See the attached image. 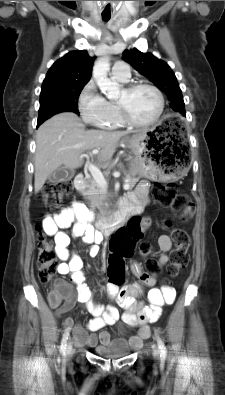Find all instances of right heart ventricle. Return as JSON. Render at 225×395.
Here are the masks:
<instances>
[{
  "mask_svg": "<svg viewBox=\"0 0 225 395\" xmlns=\"http://www.w3.org/2000/svg\"><path fill=\"white\" fill-rule=\"evenodd\" d=\"M117 81L124 83V81H120V80H117ZM107 102H108V105L110 107V115L106 119V121L104 122L102 128H104V129H116V128L123 127L124 124H123V122H122V120L120 118L119 111H118L116 103L113 102V101H107Z\"/></svg>",
  "mask_w": 225,
  "mask_h": 395,
  "instance_id": "right-heart-ventricle-1",
  "label": "right heart ventricle"
}]
</instances>
